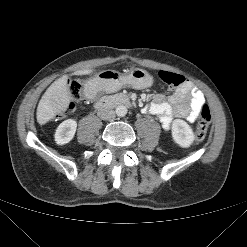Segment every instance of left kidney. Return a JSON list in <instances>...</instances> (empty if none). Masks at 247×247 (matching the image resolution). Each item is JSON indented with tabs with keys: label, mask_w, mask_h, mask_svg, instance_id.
<instances>
[{
	"label": "left kidney",
	"mask_w": 247,
	"mask_h": 247,
	"mask_svg": "<svg viewBox=\"0 0 247 247\" xmlns=\"http://www.w3.org/2000/svg\"><path fill=\"white\" fill-rule=\"evenodd\" d=\"M172 138L180 147L188 148L194 141V133L187 122L175 119L172 122Z\"/></svg>",
	"instance_id": "1"
}]
</instances>
